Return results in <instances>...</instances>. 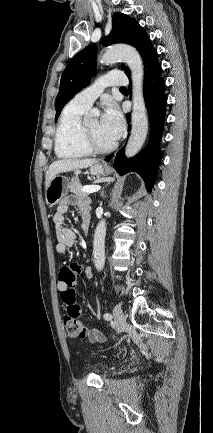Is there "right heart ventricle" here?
I'll return each mask as SVG.
<instances>
[{"mask_svg": "<svg viewBox=\"0 0 213 433\" xmlns=\"http://www.w3.org/2000/svg\"><path fill=\"white\" fill-rule=\"evenodd\" d=\"M87 109L73 102L63 109L55 133V153L60 158H82L91 154L81 138V118Z\"/></svg>", "mask_w": 213, "mask_h": 433, "instance_id": "obj_1", "label": "right heart ventricle"}]
</instances>
